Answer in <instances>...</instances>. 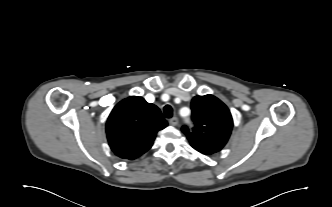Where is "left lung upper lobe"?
<instances>
[{
  "label": "left lung upper lobe",
  "mask_w": 332,
  "mask_h": 207,
  "mask_svg": "<svg viewBox=\"0 0 332 207\" xmlns=\"http://www.w3.org/2000/svg\"><path fill=\"white\" fill-rule=\"evenodd\" d=\"M192 132L187 126L182 131L191 146L209 155L220 151L227 143L233 127L227 106L213 95L195 96L191 102Z\"/></svg>",
  "instance_id": "1"
}]
</instances>
